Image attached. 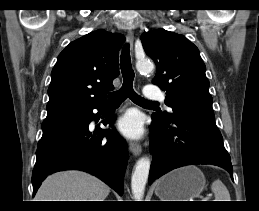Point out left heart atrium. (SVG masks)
Masks as SVG:
<instances>
[{
  "label": "left heart atrium",
  "mask_w": 259,
  "mask_h": 211,
  "mask_svg": "<svg viewBox=\"0 0 259 211\" xmlns=\"http://www.w3.org/2000/svg\"><path fill=\"white\" fill-rule=\"evenodd\" d=\"M117 127L123 135L129 138H138L143 133L141 118L133 112L124 115L118 121Z\"/></svg>",
  "instance_id": "1"
}]
</instances>
